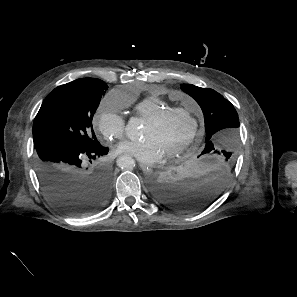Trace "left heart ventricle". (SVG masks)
Wrapping results in <instances>:
<instances>
[{"label":"left heart ventricle","mask_w":297,"mask_h":297,"mask_svg":"<svg viewBox=\"0 0 297 297\" xmlns=\"http://www.w3.org/2000/svg\"><path fill=\"white\" fill-rule=\"evenodd\" d=\"M192 122L183 114H175L157 124L145 121L141 137L154 139L165 154L181 145L189 136Z\"/></svg>","instance_id":"left-heart-ventricle-1"}]
</instances>
